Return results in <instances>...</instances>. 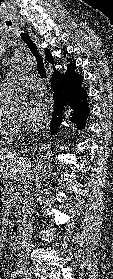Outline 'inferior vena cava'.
Wrapping results in <instances>:
<instances>
[{
    "label": "inferior vena cava",
    "instance_id": "inferior-vena-cava-1",
    "mask_svg": "<svg viewBox=\"0 0 113 279\" xmlns=\"http://www.w3.org/2000/svg\"><path fill=\"white\" fill-rule=\"evenodd\" d=\"M24 200L22 207V228L21 243L19 245L17 268L22 273H28L29 269V252L31 248L32 232H33V198L31 192V176L28 175L24 181Z\"/></svg>",
    "mask_w": 113,
    "mask_h": 279
}]
</instances>
